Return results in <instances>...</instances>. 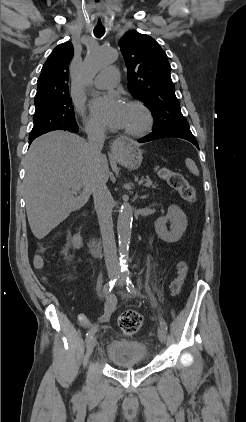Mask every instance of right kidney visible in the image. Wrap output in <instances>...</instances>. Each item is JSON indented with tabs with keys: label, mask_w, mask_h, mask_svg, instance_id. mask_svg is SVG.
I'll list each match as a JSON object with an SVG mask.
<instances>
[{
	"label": "right kidney",
	"mask_w": 246,
	"mask_h": 422,
	"mask_svg": "<svg viewBox=\"0 0 246 422\" xmlns=\"http://www.w3.org/2000/svg\"><path fill=\"white\" fill-rule=\"evenodd\" d=\"M72 245L74 246V248L79 249L82 247L83 242H82V237L79 234H76L72 237L71 239Z\"/></svg>",
	"instance_id": "1"
}]
</instances>
